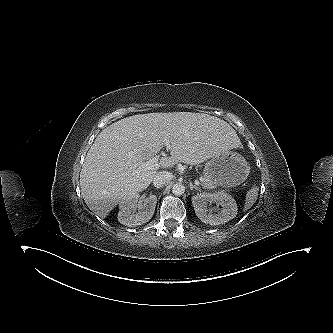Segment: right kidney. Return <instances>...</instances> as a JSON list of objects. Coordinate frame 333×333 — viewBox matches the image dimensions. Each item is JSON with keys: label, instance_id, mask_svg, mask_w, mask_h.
Listing matches in <instances>:
<instances>
[{"label": "right kidney", "instance_id": "ca27d5eb", "mask_svg": "<svg viewBox=\"0 0 333 333\" xmlns=\"http://www.w3.org/2000/svg\"><path fill=\"white\" fill-rule=\"evenodd\" d=\"M139 195L131 194L119 204L118 221L128 227H135L148 222L155 211L157 197L150 195L142 203L137 204ZM138 209V212H137Z\"/></svg>", "mask_w": 333, "mask_h": 333}]
</instances>
